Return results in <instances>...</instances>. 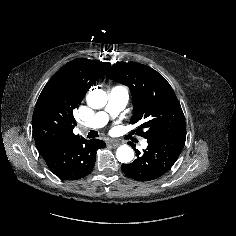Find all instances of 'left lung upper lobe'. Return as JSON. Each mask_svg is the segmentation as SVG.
<instances>
[{"mask_svg": "<svg viewBox=\"0 0 236 236\" xmlns=\"http://www.w3.org/2000/svg\"><path fill=\"white\" fill-rule=\"evenodd\" d=\"M130 88L133 99L131 124L141 122L138 134L149 139L185 131V117L167 80L156 70L139 63H116L107 74Z\"/></svg>", "mask_w": 236, "mask_h": 236, "instance_id": "left-lung-upper-lobe-1", "label": "left lung upper lobe"}]
</instances>
